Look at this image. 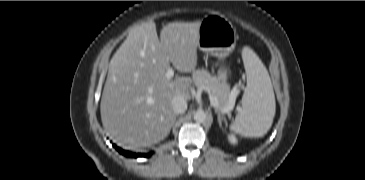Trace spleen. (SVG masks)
<instances>
[{
    "label": "spleen",
    "instance_id": "obj_1",
    "mask_svg": "<svg viewBox=\"0 0 365 180\" xmlns=\"http://www.w3.org/2000/svg\"><path fill=\"white\" fill-rule=\"evenodd\" d=\"M247 85L242 96V111L230 125L234 133L256 138L265 135L272 126L276 104L269 73L250 48L242 52Z\"/></svg>",
    "mask_w": 365,
    "mask_h": 180
}]
</instances>
